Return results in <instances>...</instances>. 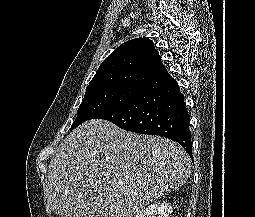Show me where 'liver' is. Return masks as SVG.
<instances>
[{"mask_svg":"<svg viewBox=\"0 0 255 217\" xmlns=\"http://www.w3.org/2000/svg\"><path fill=\"white\" fill-rule=\"evenodd\" d=\"M176 142L89 120L61 142L46 182L48 208L61 217H132L189 178Z\"/></svg>","mask_w":255,"mask_h":217,"instance_id":"6515ba94","label":"liver"}]
</instances>
